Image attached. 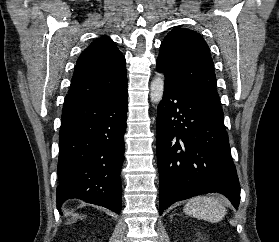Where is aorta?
<instances>
[{"instance_id":"aorta-1","label":"aorta","mask_w":279,"mask_h":242,"mask_svg":"<svg viewBox=\"0 0 279 242\" xmlns=\"http://www.w3.org/2000/svg\"><path fill=\"white\" fill-rule=\"evenodd\" d=\"M164 91V78L159 75L155 77L150 85V98L153 104H158L163 97Z\"/></svg>"}]
</instances>
